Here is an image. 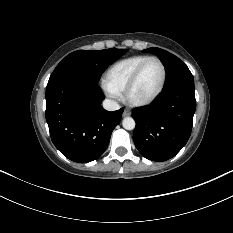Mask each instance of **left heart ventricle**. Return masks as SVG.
Masks as SVG:
<instances>
[{
  "label": "left heart ventricle",
  "mask_w": 233,
  "mask_h": 233,
  "mask_svg": "<svg viewBox=\"0 0 233 233\" xmlns=\"http://www.w3.org/2000/svg\"><path fill=\"white\" fill-rule=\"evenodd\" d=\"M162 80V68L157 61H150L144 67L133 87L130 98L141 101L151 97L159 88Z\"/></svg>",
  "instance_id": "left-heart-ventricle-1"
}]
</instances>
